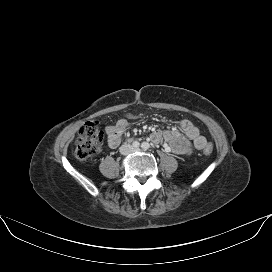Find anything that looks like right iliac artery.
<instances>
[{
    "label": "right iliac artery",
    "instance_id": "right-iliac-artery-1",
    "mask_svg": "<svg viewBox=\"0 0 272 272\" xmlns=\"http://www.w3.org/2000/svg\"><path fill=\"white\" fill-rule=\"evenodd\" d=\"M139 145H140V143H139L138 141L133 142V146H134L135 148L139 147Z\"/></svg>",
    "mask_w": 272,
    "mask_h": 272
}]
</instances>
